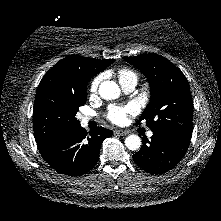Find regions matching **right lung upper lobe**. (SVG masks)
Wrapping results in <instances>:
<instances>
[{"label":"right lung upper lobe","instance_id":"obj_1","mask_svg":"<svg viewBox=\"0 0 221 221\" xmlns=\"http://www.w3.org/2000/svg\"><path fill=\"white\" fill-rule=\"evenodd\" d=\"M113 62V59L101 60L77 55L68 56L45 74L38 88L49 85L72 91L87 89L89 80ZM44 144L46 143H37V146Z\"/></svg>","mask_w":221,"mask_h":221}]
</instances>
